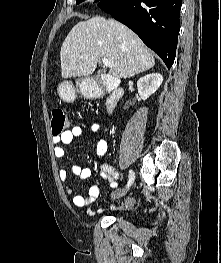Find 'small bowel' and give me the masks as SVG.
Masks as SVG:
<instances>
[{
	"instance_id": "obj_1",
	"label": "small bowel",
	"mask_w": 221,
	"mask_h": 263,
	"mask_svg": "<svg viewBox=\"0 0 221 263\" xmlns=\"http://www.w3.org/2000/svg\"><path fill=\"white\" fill-rule=\"evenodd\" d=\"M90 130L93 134H99L102 131V125L100 123H93L90 126ZM82 128L80 126H74L71 129L65 131L61 136L54 137L53 143L55 145L53 149L54 156L56 158H63L65 156L64 145H69L75 138L81 136ZM108 145L103 139L96 142L94 148V154L98 159H101L107 152ZM72 172L81 179H86L91 175V169L83 167L81 165H73ZM100 176L107 179L110 182L112 188H116L117 180L120 178V174L109 164H103L101 167ZM59 178L61 181L66 182L68 180V172L66 169L59 170ZM65 192L73 196V203L75 206L83 208L94 203L100 196V187L93 184L89 187L88 194L82 196L75 193L74 185L67 183L64 187ZM132 198L128 197L127 202H132ZM115 208V206H113Z\"/></svg>"
}]
</instances>
